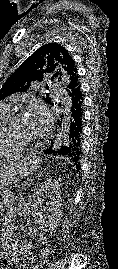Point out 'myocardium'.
Returning <instances> with one entry per match:
<instances>
[{
    "mask_svg": "<svg viewBox=\"0 0 118 269\" xmlns=\"http://www.w3.org/2000/svg\"><path fill=\"white\" fill-rule=\"evenodd\" d=\"M24 115H25L24 111H15V112L11 113V115L6 120L4 127H3L4 135L7 139V141L12 143V144L18 145L21 148L24 146H35L31 141L19 138L14 133V126H15L16 122Z\"/></svg>",
    "mask_w": 118,
    "mask_h": 269,
    "instance_id": "obj_1",
    "label": "myocardium"
}]
</instances>
